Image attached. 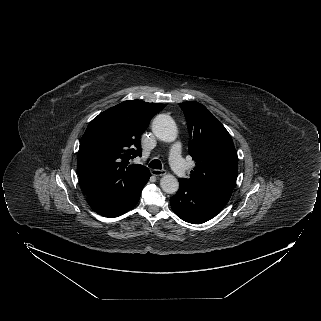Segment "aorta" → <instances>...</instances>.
<instances>
[{
	"label": "aorta",
	"mask_w": 321,
	"mask_h": 321,
	"mask_svg": "<svg viewBox=\"0 0 321 321\" xmlns=\"http://www.w3.org/2000/svg\"><path fill=\"white\" fill-rule=\"evenodd\" d=\"M152 131L159 140L164 142H173L177 137L176 123L166 114H160L154 118ZM160 186L164 192L174 194L178 191L179 182L175 176L167 174L161 178Z\"/></svg>",
	"instance_id": "obj_1"
}]
</instances>
